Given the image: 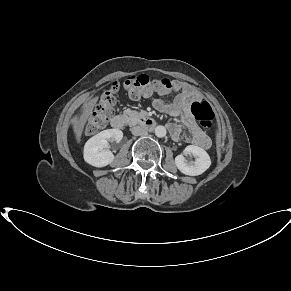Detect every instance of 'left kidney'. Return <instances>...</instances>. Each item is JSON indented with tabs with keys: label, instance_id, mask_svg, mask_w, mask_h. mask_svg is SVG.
<instances>
[{
	"label": "left kidney",
	"instance_id": "1",
	"mask_svg": "<svg viewBox=\"0 0 291 291\" xmlns=\"http://www.w3.org/2000/svg\"><path fill=\"white\" fill-rule=\"evenodd\" d=\"M184 155H193L195 161L188 162ZM175 165L185 175L197 176L204 173L211 165V159L208 153L195 145H188L183 150V154L176 156Z\"/></svg>",
	"mask_w": 291,
	"mask_h": 291
}]
</instances>
